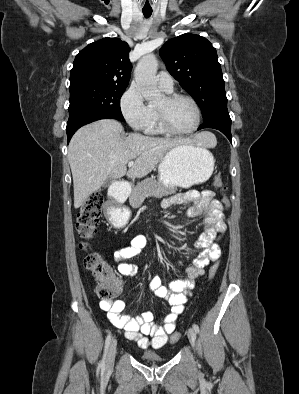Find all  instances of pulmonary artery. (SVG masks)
<instances>
[{"label":"pulmonary artery","instance_id":"e3ab8cb5","mask_svg":"<svg viewBox=\"0 0 299 394\" xmlns=\"http://www.w3.org/2000/svg\"><path fill=\"white\" fill-rule=\"evenodd\" d=\"M158 84L163 90H173V78L168 72H160L158 74Z\"/></svg>","mask_w":299,"mask_h":394}]
</instances>
